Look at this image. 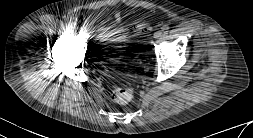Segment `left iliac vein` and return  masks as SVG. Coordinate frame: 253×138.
<instances>
[{"instance_id":"1","label":"left iliac vein","mask_w":253,"mask_h":138,"mask_svg":"<svg viewBox=\"0 0 253 138\" xmlns=\"http://www.w3.org/2000/svg\"><path fill=\"white\" fill-rule=\"evenodd\" d=\"M162 36V32L161 31H156L153 35L154 39L157 40Z\"/></svg>"}]
</instances>
